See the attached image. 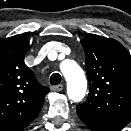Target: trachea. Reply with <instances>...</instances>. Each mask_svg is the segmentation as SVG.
I'll return each instance as SVG.
<instances>
[{
	"label": "trachea",
	"mask_w": 131,
	"mask_h": 131,
	"mask_svg": "<svg viewBox=\"0 0 131 131\" xmlns=\"http://www.w3.org/2000/svg\"><path fill=\"white\" fill-rule=\"evenodd\" d=\"M61 82V75L59 73H53L50 77V84L58 85Z\"/></svg>",
	"instance_id": "3493384b"
}]
</instances>
